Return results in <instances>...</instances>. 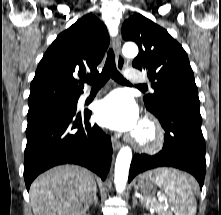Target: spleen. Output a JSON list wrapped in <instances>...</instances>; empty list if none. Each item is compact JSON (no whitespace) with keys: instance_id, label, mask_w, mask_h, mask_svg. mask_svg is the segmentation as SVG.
Wrapping results in <instances>:
<instances>
[{"instance_id":"1","label":"spleen","mask_w":221,"mask_h":215,"mask_svg":"<svg viewBox=\"0 0 221 215\" xmlns=\"http://www.w3.org/2000/svg\"><path fill=\"white\" fill-rule=\"evenodd\" d=\"M156 182L162 187L169 198V203L176 215H195L197 209L193 189L196 186L194 178L175 170L164 169L157 176ZM145 206L155 208L158 202L155 197L147 196Z\"/></svg>"}]
</instances>
